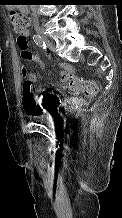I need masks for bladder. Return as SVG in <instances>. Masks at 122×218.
I'll list each match as a JSON object with an SVG mask.
<instances>
[{
	"label": "bladder",
	"instance_id": "1",
	"mask_svg": "<svg viewBox=\"0 0 122 218\" xmlns=\"http://www.w3.org/2000/svg\"><path fill=\"white\" fill-rule=\"evenodd\" d=\"M33 121H41L42 119H44V115L42 114H35L32 116Z\"/></svg>",
	"mask_w": 122,
	"mask_h": 218
}]
</instances>
